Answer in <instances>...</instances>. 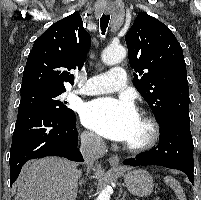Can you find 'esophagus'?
I'll use <instances>...</instances> for the list:
<instances>
[{"label":"esophagus","instance_id":"obj_1","mask_svg":"<svg viewBox=\"0 0 201 200\" xmlns=\"http://www.w3.org/2000/svg\"><path fill=\"white\" fill-rule=\"evenodd\" d=\"M106 12H110V9H106ZM108 161L113 168H120V159L118 156H112Z\"/></svg>","mask_w":201,"mask_h":200}]
</instances>
